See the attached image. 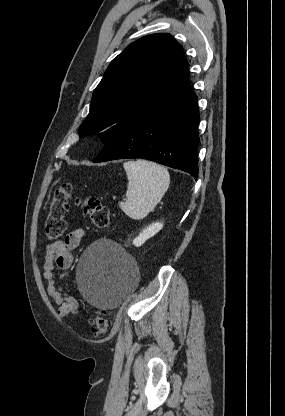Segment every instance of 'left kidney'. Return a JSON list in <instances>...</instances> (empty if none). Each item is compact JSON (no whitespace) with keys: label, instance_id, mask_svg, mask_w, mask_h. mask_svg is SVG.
Masks as SVG:
<instances>
[{"label":"left kidney","instance_id":"left-kidney-1","mask_svg":"<svg viewBox=\"0 0 285 416\" xmlns=\"http://www.w3.org/2000/svg\"><path fill=\"white\" fill-rule=\"evenodd\" d=\"M162 228V222H155V224H150V226H147V228H145V230H143V232H141V234H139V236L133 240L134 246H136V248H140V246H142L146 240H149V238L155 236V234L160 232Z\"/></svg>","mask_w":285,"mask_h":416}]
</instances>
